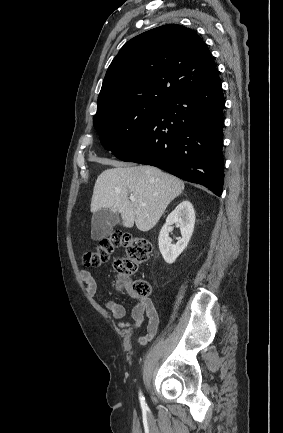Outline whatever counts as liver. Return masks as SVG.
Returning <instances> with one entry per match:
<instances>
[{"mask_svg": "<svg viewBox=\"0 0 283 433\" xmlns=\"http://www.w3.org/2000/svg\"><path fill=\"white\" fill-rule=\"evenodd\" d=\"M114 164L116 168L103 170L95 182L91 212L110 208L120 212L123 227L131 229L135 223L139 231H150L169 202L181 194L183 180L156 166H132L118 160ZM129 196H134V202Z\"/></svg>", "mask_w": 283, "mask_h": 433, "instance_id": "liver-1", "label": "liver"}]
</instances>
